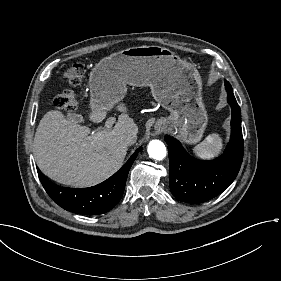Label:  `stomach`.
I'll list each match as a JSON object with an SVG mask.
<instances>
[{
	"mask_svg": "<svg viewBox=\"0 0 281 281\" xmlns=\"http://www.w3.org/2000/svg\"><path fill=\"white\" fill-rule=\"evenodd\" d=\"M151 88L153 98L170 116L157 121L179 133L186 143L203 136L208 117L202 101V79L196 67L170 49L139 46L113 53L92 69L90 106L111 108L126 93V85Z\"/></svg>",
	"mask_w": 281,
	"mask_h": 281,
	"instance_id": "0dacf381",
	"label": "stomach"
}]
</instances>
